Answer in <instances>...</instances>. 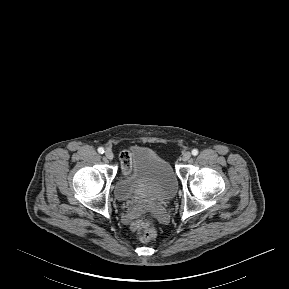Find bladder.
<instances>
[{"label":"bladder","mask_w":289,"mask_h":289,"mask_svg":"<svg viewBox=\"0 0 289 289\" xmlns=\"http://www.w3.org/2000/svg\"><path fill=\"white\" fill-rule=\"evenodd\" d=\"M130 170L114 185L116 199L123 203L142 200L168 201L177 191V178L170 164L157 152L135 147L130 152Z\"/></svg>","instance_id":"bladder-1"}]
</instances>
